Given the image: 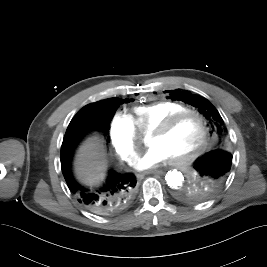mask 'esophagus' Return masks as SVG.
<instances>
[{"instance_id": "1", "label": "esophagus", "mask_w": 267, "mask_h": 267, "mask_svg": "<svg viewBox=\"0 0 267 267\" xmlns=\"http://www.w3.org/2000/svg\"><path fill=\"white\" fill-rule=\"evenodd\" d=\"M155 171H152V172H150V173H154ZM158 173H160V171H158ZM138 177H141V175H138Z\"/></svg>"}]
</instances>
